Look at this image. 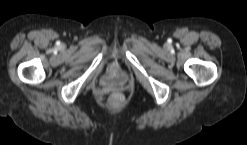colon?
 Segmentation results:
<instances>
[{"label": "colon", "instance_id": "1", "mask_svg": "<svg viewBox=\"0 0 247 145\" xmlns=\"http://www.w3.org/2000/svg\"><path fill=\"white\" fill-rule=\"evenodd\" d=\"M113 101H120V97L118 95L112 96Z\"/></svg>", "mask_w": 247, "mask_h": 145}]
</instances>
